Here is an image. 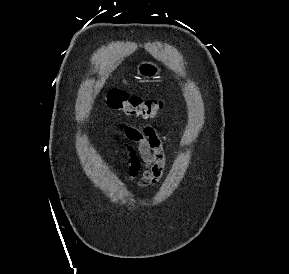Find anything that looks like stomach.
<instances>
[{
    "mask_svg": "<svg viewBox=\"0 0 289 274\" xmlns=\"http://www.w3.org/2000/svg\"><path fill=\"white\" fill-rule=\"evenodd\" d=\"M160 72L161 68L151 61H142L137 66V73L144 79L157 78Z\"/></svg>",
    "mask_w": 289,
    "mask_h": 274,
    "instance_id": "1",
    "label": "stomach"
}]
</instances>
